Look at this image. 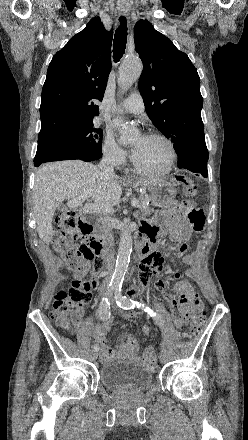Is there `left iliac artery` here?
<instances>
[{
	"mask_svg": "<svg viewBox=\"0 0 248 440\" xmlns=\"http://www.w3.org/2000/svg\"><path fill=\"white\" fill-rule=\"evenodd\" d=\"M115 298L117 305L125 310L134 309V307L142 308L145 312H147L150 316L156 317V314L149 307L145 306L144 303H140L135 301L125 295H122L121 287L115 289Z\"/></svg>",
	"mask_w": 248,
	"mask_h": 440,
	"instance_id": "44dca946",
	"label": "left iliac artery"
}]
</instances>
